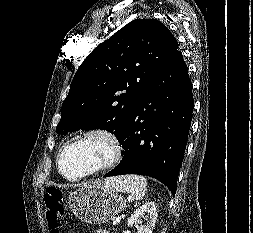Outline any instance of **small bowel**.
Masks as SVG:
<instances>
[{
	"mask_svg": "<svg viewBox=\"0 0 253 233\" xmlns=\"http://www.w3.org/2000/svg\"><path fill=\"white\" fill-rule=\"evenodd\" d=\"M97 233H109V232H107L105 230H99Z\"/></svg>",
	"mask_w": 253,
	"mask_h": 233,
	"instance_id": "obj_1",
	"label": "small bowel"
}]
</instances>
